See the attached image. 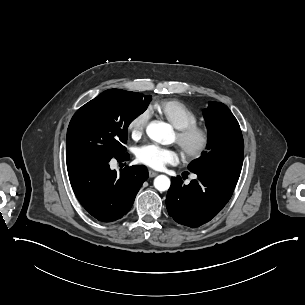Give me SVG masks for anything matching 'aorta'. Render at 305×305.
I'll return each mask as SVG.
<instances>
[{
  "label": "aorta",
  "mask_w": 305,
  "mask_h": 305,
  "mask_svg": "<svg viewBox=\"0 0 305 305\" xmlns=\"http://www.w3.org/2000/svg\"><path fill=\"white\" fill-rule=\"evenodd\" d=\"M146 133L153 141L165 144L172 135V129L167 123L153 121L147 126ZM170 184L166 175H159L154 179V187L160 192L167 191Z\"/></svg>",
  "instance_id": "1"
}]
</instances>
